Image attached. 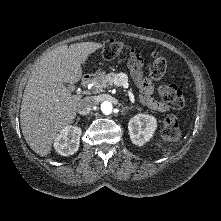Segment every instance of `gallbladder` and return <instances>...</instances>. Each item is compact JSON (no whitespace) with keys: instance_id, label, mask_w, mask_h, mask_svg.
<instances>
[{"instance_id":"1","label":"gallbladder","mask_w":221,"mask_h":221,"mask_svg":"<svg viewBox=\"0 0 221 221\" xmlns=\"http://www.w3.org/2000/svg\"><path fill=\"white\" fill-rule=\"evenodd\" d=\"M65 86H66L67 88H69L70 90H73V89H74V85L71 84V83H65Z\"/></svg>"}]
</instances>
